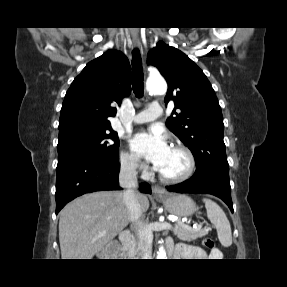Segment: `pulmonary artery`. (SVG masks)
<instances>
[{"label": "pulmonary artery", "mask_w": 287, "mask_h": 287, "mask_svg": "<svg viewBox=\"0 0 287 287\" xmlns=\"http://www.w3.org/2000/svg\"><path fill=\"white\" fill-rule=\"evenodd\" d=\"M162 113V109L157 104H151L148 108L140 113H138L132 119L135 124H142L146 122H151L157 119Z\"/></svg>", "instance_id": "obj_1"}]
</instances>
